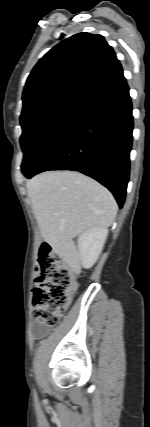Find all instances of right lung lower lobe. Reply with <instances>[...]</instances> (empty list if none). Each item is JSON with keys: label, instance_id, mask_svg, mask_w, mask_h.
Wrapping results in <instances>:
<instances>
[{"label": "right lung lower lobe", "instance_id": "1", "mask_svg": "<svg viewBox=\"0 0 150 427\" xmlns=\"http://www.w3.org/2000/svg\"><path fill=\"white\" fill-rule=\"evenodd\" d=\"M132 103L124 77L79 106L63 132L27 178L48 170L88 175L123 206L132 147Z\"/></svg>", "mask_w": 150, "mask_h": 427}]
</instances>
